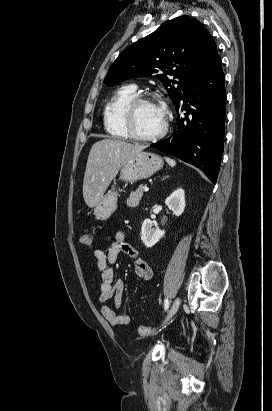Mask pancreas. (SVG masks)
<instances>
[{"label":"pancreas","mask_w":272,"mask_h":411,"mask_svg":"<svg viewBox=\"0 0 272 411\" xmlns=\"http://www.w3.org/2000/svg\"><path fill=\"white\" fill-rule=\"evenodd\" d=\"M145 185H140L134 192H132L127 199L126 203L128 207L135 208L139 205V202L143 196V190Z\"/></svg>","instance_id":"pancreas-1"}]
</instances>
